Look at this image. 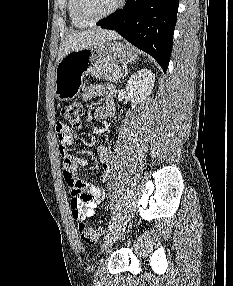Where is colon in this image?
I'll use <instances>...</instances> for the list:
<instances>
[{
    "instance_id": "obj_1",
    "label": "colon",
    "mask_w": 233,
    "mask_h": 286,
    "mask_svg": "<svg viewBox=\"0 0 233 286\" xmlns=\"http://www.w3.org/2000/svg\"><path fill=\"white\" fill-rule=\"evenodd\" d=\"M84 108L80 103H72L65 106L61 111L62 118L74 128L81 125ZM78 229L82 240L87 244L97 242L102 236V230L87 226L82 220L78 223Z\"/></svg>"
}]
</instances>
